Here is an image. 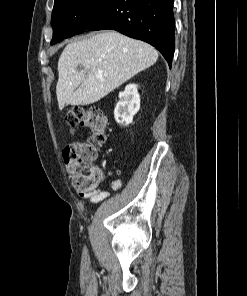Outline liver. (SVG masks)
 I'll list each match as a JSON object with an SVG mask.
<instances>
[{"instance_id":"obj_1","label":"liver","mask_w":247,"mask_h":296,"mask_svg":"<svg viewBox=\"0 0 247 296\" xmlns=\"http://www.w3.org/2000/svg\"><path fill=\"white\" fill-rule=\"evenodd\" d=\"M157 59L154 47L116 31L69 43L58 61L59 109L99 101Z\"/></svg>"}]
</instances>
